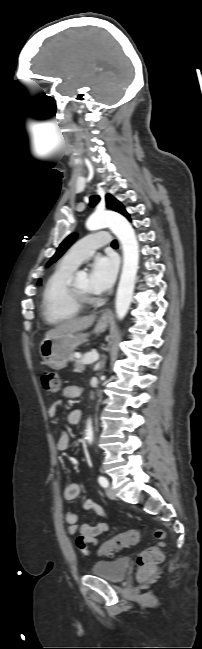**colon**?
Listing matches in <instances>:
<instances>
[{
    "label": "colon",
    "instance_id": "1",
    "mask_svg": "<svg viewBox=\"0 0 202 649\" xmlns=\"http://www.w3.org/2000/svg\"><path fill=\"white\" fill-rule=\"evenodd\" d=\"M41 383L47 392L56 393L60 390L61 379L59 375L51 370H44L41 374ZM155 536L163 540L165 533L161 529H155ZM138 539V532L136 530H129L116 535L108 542L104 543L101 551L105 555H110L116 550L125 549L129 545L134 544ZM163 543L159 546H154L143 550L137 557V566L141 578L151 576L162 563L163 554L160 549Z\"/></svg>",
    "mask_w": 202,
    "mask_h": 649
}]
</instances>
